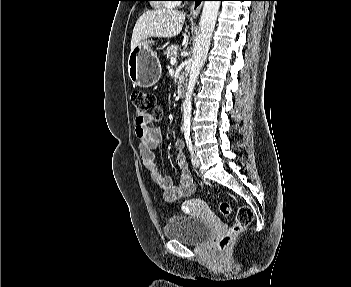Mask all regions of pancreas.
<instances>
[{
  "mask_svg": "<svg viewBox=\"0 0 351 287\" xmlns=\"http://www.w3.org/2000/svg\"><path fill=\"white\" fill-rule=\"evenodd\" d=\"M178 50V46L177 45H172L170 47H167L166 51H164V55H166L167 59H170L174 57V55L176 54Z\"/></svg>",
  "mask_w": 351,
  "mask_h": 287,
  "instance_id": "cf45deb5",
  "label": "pancreas"
}]
</instances>
